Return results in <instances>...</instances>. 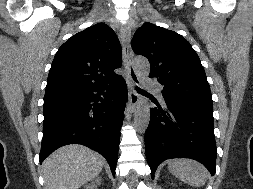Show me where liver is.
<instances>
[{
  "label": "liver",
  "mask_w": 253,
  "mask_h": 189,
  "mask_svg": "<svg viewBox=\"0 0 253 189\" xmlns=\"http://www.w3.org/2000/svg\"><path fill=\"white\" fill-rule=\"evenodd\" d=\"M104 162L85 146L61 147L43 162L44 189H78L99 175Z\"/></svg>",
  "instance_id": "1"
}]
</instances>
